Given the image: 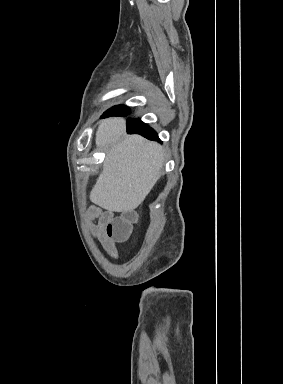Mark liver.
Here are the masks:
<instances>
[{"label": "liver", "mask_w": 283, "mask_h": 384, "mask_svg": "<svg viewBox=\"0 0 283 384\" xmlns=\"http://www.w3.org/2000/svg\"><path fill=\"white\" fill-rule=\"evenodd\" d=\"M95 142L107 150L91 202L108 212H134L161 176V146L141 136H126L123 118L101 120Z\"/></svg>", "instance_id": "liver-1"}]
</instances>
